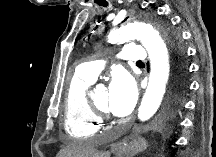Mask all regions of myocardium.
<instances>
[{"instance_id":"myocardium-1","label":"myocardium","mask_w":216,"mask_h":157,"mask_svg":"<svg viewBox=\"0 0 216 157\" xmlns=\"http://www.w3.org/2000/svg\"><path fill=\"white\" fill-rule=\"evenodd\" d=\"M90 101V105L94 111V113L96 115L102 118H109V114H108V111L106 109H102L101 107H99L96 102L92 99L89 100Z\"/></svg>"}]
</instances>
